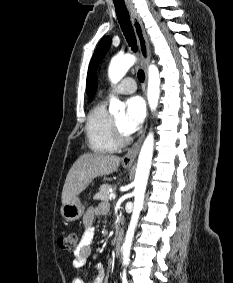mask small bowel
<instances>
[{
    "mask_svg": "<svg viewBox=\"0 0 233 283\" xmlns=\"http://www.w3.org/2000/svg\"><path fill=\"white\" fill-rule=\"evenodd\" d=\"M107 212V206L101 204L99 206L90 207L83 218V234L81 240L74 252L73 265L76 268H81L86 264L87 259L92 252V243L95 236L94 220L97 215L105 214ZM104 274L103 267L101 265L96 266V274L94 275L91 283H103ZM72 283H85L80 277H75Z\"/></svg>",
    "mask_w": 233,
    "mask_h": 283,
    "instance_id": "c3829d8e",
    "label": "small bowel"
}]
</instances>
